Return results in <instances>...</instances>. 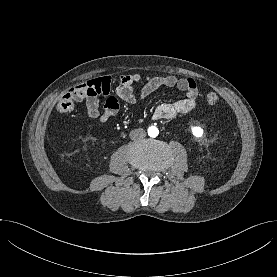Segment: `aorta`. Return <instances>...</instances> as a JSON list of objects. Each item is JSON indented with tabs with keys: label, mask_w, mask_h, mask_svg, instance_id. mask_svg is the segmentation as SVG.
<instances>
[{
	"label": "aorta",
	"mask_w": 277,
	"mask_h": 277,
	"mask_svg": "<svg viewBox=\"0 0 277 277\" xmlns=\"http://www.w3.org/2000/svg\"><path fill=\"white\" fill-rule=\"evenodd\" d=\"M158 134H159V130H158L157 127L151 126V127L148 128V135H149L150 137L155 138V137L158 136Z\"/></svg>",
	"instance_id": "aorta-1"
}]
</instances>
